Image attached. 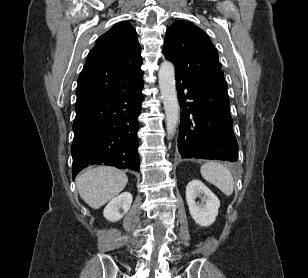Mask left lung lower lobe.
I'll use <instances>...</instances> for the list:
<instances>
[{
  "instance_id": "1",
  "label": "left lung lower lobe",
  "mask_w": 308,
  "mask_h": 278,
  "mask_svg": "<svg viewBox=\"0 0 308 278\" xmlns=\"http://www.w3.org/2000/svg\"><path fill=\"white\" fill-rule=\"evenodd\" d=\"M176 86L181 105V157L236 161L238 145L224 73L219 71L192 80L176 77Z\"/></svg>"
}]
</instances>
